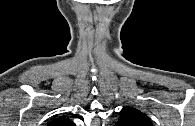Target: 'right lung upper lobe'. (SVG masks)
<instances>
[{"mask_svg":"<svg viewBox=\"0 0 195 126\" xmlns=\"http://www.w3.org/2000/svg\"><path fill=\"white\" fill-rule=\"evenodd\" d=\"M48 126H75V124L65 116H62L51 121Z\"/></svg>","mask_w":195,"mask_h":126,"instance_id":"cb5924a9","label":"right lung upper lobe"}]
</instances>
